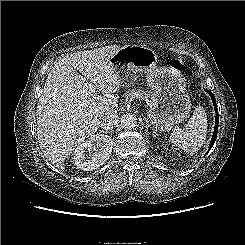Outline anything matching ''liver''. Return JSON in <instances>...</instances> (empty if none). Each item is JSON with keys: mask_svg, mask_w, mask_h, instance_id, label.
I'll use <instances>...</instances> for the list:
<instances>
[{"mask_svg": "<svg viewBox=\"0 0 245 245\" xmlns=\"http://www.w3.org/2000/svg\"><path fill=\"white\" fill-rule=\"evenodd\" d=\"M119 45L78 51L54 64L37 104V136L46 159L60 170L74 149L98 130L106 114H116L121 87L110 59ZM76 70L82 74H77ZM93 83L99 96L90 91Z\"/></svg>", "mask_w": 245, "mask_h": 245, "instance_id": "obj_1", "label": "liver"}]
</instances>
